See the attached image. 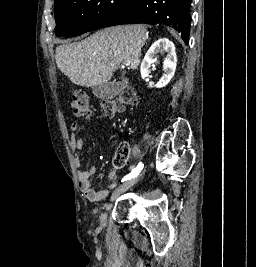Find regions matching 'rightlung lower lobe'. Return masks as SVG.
Returning a JSON list of instances; mask_svg holds the SVG:
<instances>
[{
	"instance_id": "right-lung-lower-lobe-1",
	"label": "right lung lower lobe",
	"mask_w": 256,
	"mask_h": 267,
	"mask_svg": "<svg viewBox=\"0 0 256 267\" xmlns=\"http://www.w3.org/2000/svg\"><path fill=\"white\" fill-rule=\"evenodd\" d=\"M192 0H135L116 18L102 28L121 25L160 23L180 32L187 45L191 25L190 4Z\"/></svg>"
}]
</instances>
